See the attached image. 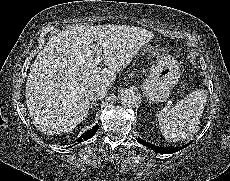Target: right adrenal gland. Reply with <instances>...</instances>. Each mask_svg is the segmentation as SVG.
<instances>
[{
    "label": "right adrenal gland",
    "mask_w": 230,
    "mask_h": 181,
    "mask_svg": "<svg viewBox=\"0 0 230 181\" xmlns=\"http://www.w3.org/2000/svg\"><path fill=\"white\" fill-rule=\"evenodd\" d=\"M94 104H95L94 102L91 103V106H90L91 109H93Z\"/></svg>",
    "instance_id": "2a0ac1e0"
}]
</instances>
